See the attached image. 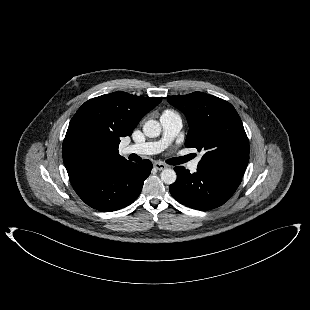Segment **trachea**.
<instances>
[{"mask_svg": "<svg viewBox=\"0 0 310 310\" xmlns=\"http://www.w3.org/2000/svg\"><path fill=\"white\" fill-rule=\"evenodd\" d=\"M187 160H188L187 157H180V158L170 159L168 161V163L171 164V165H177V164L183 163V162H185Z\"/></svg>", "mask_w": 310, "mask_h": 310, "instance_id": "obj_1", "label": "trachea"}]
</instances>
